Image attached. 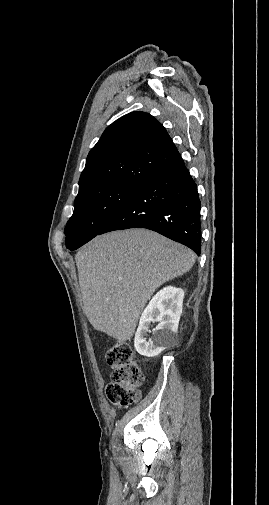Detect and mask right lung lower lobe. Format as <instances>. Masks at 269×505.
Listing matches in <instances>:
<instances>
[{"mask_svg":"<svg viewBox=\"0 0 269 505\" xmlns=\"http://www.w3.org/2000/svg\"><path fill=\"white\" fill-rule=\"evenodd\" d=\"M200 205L196 183L181 158L141 185L98 235L146 228L186 245L199 255Z\"/></svg>","mask_w":269,"mask_h":505,"instance_id":"right-lung-lower-lobe-1","label":"right lung lower lobe"}]
</instances>
